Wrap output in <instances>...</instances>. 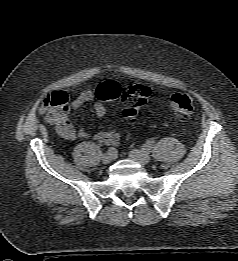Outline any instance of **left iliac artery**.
Masks as SVG:
<instances>
[{
  "label": "left iliac artery",
  "instance_id": "left-iliac-artery-1",
  "mask_svg": "<svg viewBox=\"0 0 238 261\" xmlns=\"http://www.w3.org/2000/svg\"><path fill=\"white\" fill-rule=\"evenodd\" d=\"M154 146H155V140H149L143 145L142 150L145 152H149L154 148Z\"/></svg>",
  "mask_w": 238,
  "mask_h": 261
}]
</instances>
